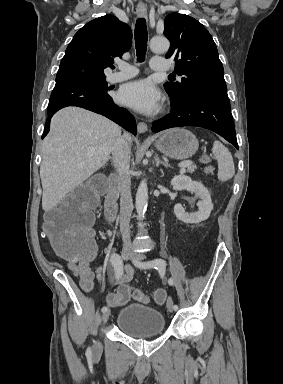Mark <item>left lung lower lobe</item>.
Segmentation results:
<instances>
[{
  "mask_svg": "<svg viewBox=\"0 0 283 384\" xmlns=\"http://www.w3.org/2000/svg\"><path fill=\"white\" fill-rule=\"evenodd\" d=\"M171 101V113L152 123L153 132L172 127L199 126L218 133L238 149L227 93H196L184 100Z\"/></svg>",
  "mask_w": 283,
  "mask_h": 384,
  "instance_id": "1",
  "label": "left lung lower lobe"
}]
</instances>
